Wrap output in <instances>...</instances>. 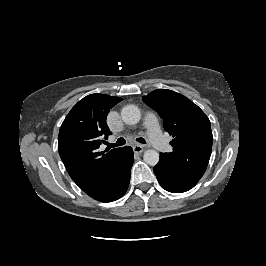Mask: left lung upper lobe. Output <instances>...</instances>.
Wrapping results in <instances>:
<instances>
[{"instance_id":"1","label":"left lung upper lobe","mask_w":266,"mask_h":266,"mask_svg":"<svg viewBox=\"0 0 266 266\" xmlns=\"http://www.w3.org/2000/svg\"><path fill=\"white\" fill-rule=\"evenodd\" d=\"M142 100L158 112L165 130L174 137L173 151L160 153V159L183 173L204 174L208 165L213 136L205 113L185 96L167 89H157Z\"/></svg>"}]
</instances>
